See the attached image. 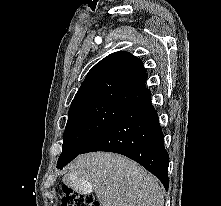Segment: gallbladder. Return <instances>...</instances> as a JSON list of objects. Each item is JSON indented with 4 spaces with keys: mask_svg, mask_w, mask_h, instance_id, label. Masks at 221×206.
Instances as JSON below:
<instances>
[{
    "mask_svg": "<svg viewBox=\"0 0 221 206\" xmlns=\"http://www.w3.org/2000/svg\"><path fill=\"white\" fill-rule=\"evenodd\" d=\"M65 186H69V190H74V194H91L87 181H65Z\"/></svg>",
    "mask_w": 221,
    "mask_h": 206,
    "instance_id": "bac80fb5",
    "label": "gallbladder"
}]
</instances>
